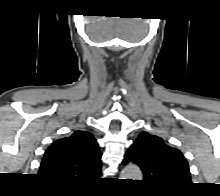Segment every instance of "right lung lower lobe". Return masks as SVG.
<instances>
[{"label": "right lung lower lobe", "mask_w": 220, "mask_h": 196, "mask_svg": "<svg viewBox=\"0 0 220 196\" xmlns=\"http://www.w3.org/2000/svg\"><path fill=\"white\" fill-rule=\"evenodd\" d=\"M54 184V183H53ZM56 186H62V187H68L67 185H61V184H54Z\"/></svg>", "instance_id": "98d812e1"}]
</instances>
